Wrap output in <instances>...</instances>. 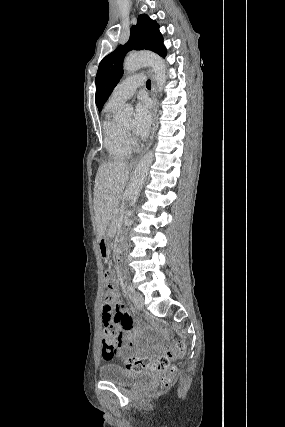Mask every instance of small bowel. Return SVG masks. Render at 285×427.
<instances>
[{
  "mask_svg": "<svg viewBox=\"0 0 285 427\" xmlns=\"http://www.w3.org/2000/svg\"><path fill=\"white\" fill-rule=\"evenodd\" d=\"M101 311L103 326L107 328L118 323L123 330V342L132 340L135 337L136 333L132 330V321L125 311L124 304L118 300L117 293L113 294V298L110 301H103ZM121 349H126V345L123 344Z\"/></svg>",
  "mask_w": 285,
  "mask_h": 427,
  "instance_id": "obj_1",
  "label": "small bowel"
}]
</instances>
